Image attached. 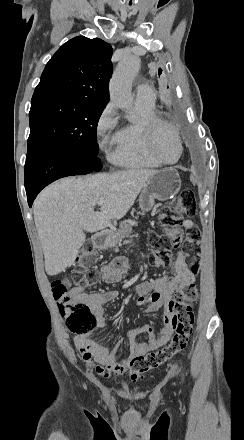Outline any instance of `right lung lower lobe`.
<instances>
[{"label":"right lung lower lobe","mask_w":244,"mask_h":440,"mask_svg":"<svg viewBox=\"0 0 244 440\" xmlns=\"http://www.w3.org/2000/svg\"><path fill=\"white\" fill-rule=\"evenodd\" d=\"M101 168L97 156H83L54 145L29 146L24 168L29 207L38 193L51 182L66 176L100 171Z\"/></svg>","instance_id":"obj_1"}]
</instances>
